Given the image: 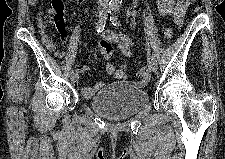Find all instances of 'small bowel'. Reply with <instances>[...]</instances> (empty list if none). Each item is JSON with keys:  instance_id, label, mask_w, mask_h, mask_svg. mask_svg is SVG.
Here are the masks:
<instances>
[{"instance_id": "small-bowel-1", "label": "small bowel", "mask_w": 225, "mask_h": 159, "mask_svg": "<svg viewBox=\"0 0 225 159\" xmlns=\"http://www.w3.org/2000/svg\"><path fill=\"white\" fill-rule=\"evenodd\" d=\"M38 4V0H32L31 5L36 6ZM189 5V0H179V1H174V0H157V8L158 11L162 15H173L175 19V23L177 25H180L182 23V20L184 18L186 9ZM38 26L39 30L42 35V40L45 46L52 52L55 53L57 57H61L63 53L59 50H57L56 44L53 42V40L45 33V25L43 20L40 18L38 20ZM60 39L62 42L66 41L67 38V30L65 28H59L57 27ZM112 44L117 45V48L121 52V54L125 57H132L133 51H132V46H133V41L132 39L127 36L126 34H116L113 31L106 29L102 31L101 33V41L99 43L100 49L104 46H109L111 47ZM75 70L77 72H86L88 69L81 65V64H76L75 65ZM106 71L109 75L114 76L117 79H123L126 77V71L127 67L126 65H114L110 62L107 63L106 65ZM102 83L99 82L97 83L94 87H88L85 86L82 88V94L85 98H91L96 91H98L102 87Z\"/></svg>"}]
</instances>
